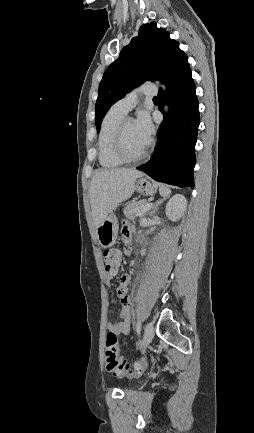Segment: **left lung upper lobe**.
Here are the masks:
<instances>
[{"label":"left lung upper lobe","instance_id":"left-lung-upper-lobe-1","mask_svg":"<svg viewBox=\"0 0 254 433\" xmlns=\"http://www.w3.org/2000/svg\"><path fill=\"white\" fill-rule=\"evenodd\" d=\"M184 54L179 43L170 38L169 32L157 28L155 22L144 24L139 34L124 47L105 71L99 85L96 101V127L109 108L133 88L153 77L164 81L178 59Z\"/></svg>","mask_w":254,"mask_h":433}]
</instances>
